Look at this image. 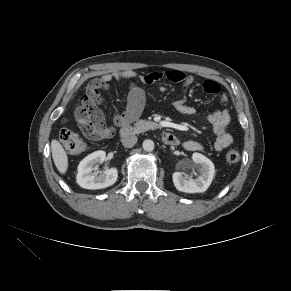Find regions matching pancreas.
Returning a JSON list of instances; mask_svg holds the SVG:
<instances>
[{
  "label": "pancreas",
  "instance_id": "pancreas-1",
  "mask_svg": "<svg viewBox=\"0 0 291 291\" xmlns=\"http://www.w3.org/2000/svg\"><path fill=\"white\" fill-rule=\"evenodd\" d=\"M157 127V124L152 121L147 120H138L133 127V133H141L149 129H154Z\"/></svg>",
  "mask_w": 291,
  "mask_h": 291
}]
</instances>
